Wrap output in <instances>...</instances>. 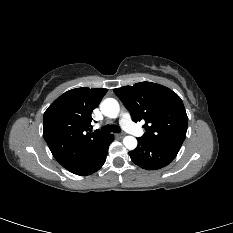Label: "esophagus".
I'll use <instances>...</instances> for the list:
<instances>
[{
    "label": "esophagus",
    "instance_id": "esophagus-1",
    "mask_svg": "<svg viewBox=\"0 0 233 233\" xmlns=\"http://www.w3.org/2000/svg\"><path fill=\"white\" fill-rule=\"evenodd\" d=\"M124 133H119V134H116V136L118 137V138H123L124 137Z\"/></svg>",
    "mask_w": 233,
    "mask_h": 233
}]
</instances>
